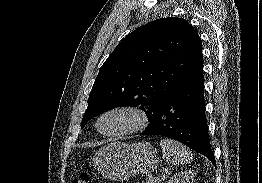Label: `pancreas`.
Instances as JSON below:
<instances>
[{
  "instance_id": "1",
  "label": "pancreas",
  "mask_w": 262,
  "mask_h": 183,
  "mask_svg": "<svg viewBox=\"0 0 262 183\" xmlns=\"http://www.w3.org/2000/svg\"><path fill=\"white\" fill-rule=\"evenodd\" d=\"M161 176H159L160 179L158 177L157 179H150V180H147L146 182H143V183H161V181L165 179V177L161 179Z\"/></svg>"
}]
</instances>
